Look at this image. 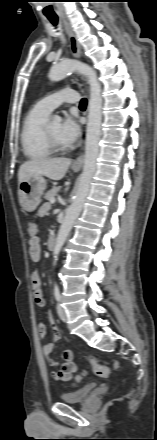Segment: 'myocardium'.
Here are the masks:
<instances>
[{"instance_id":"myocardium-1","label":"myocardium","mask_w":157,"mask_h":440,"mask_svg":"<svg viewBox=\"0 0 157 440\" xmlns=\"http://www.w3.org/2000/svg\"><path fill=\"white\" fill-rule=\"evenodd\" d=\"M44 136H45L47 144L49 145V147L51 148V150L53 152H63L67 149L65 144H61V143L57 142L52 137V135L50 134V132L48 130V125H45V127H44Z\"/></svg>"}]
</instances>
